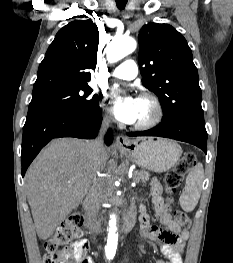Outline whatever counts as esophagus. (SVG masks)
I'll return each instance as SVG.
<instances>
[{
	"mask_svg": "<svg viewBox=\"0 0 233 263\" xmlns=\"http://www.w3.org/2000/svg\"><path fill=\"white\" fill-rule=\"evenodd\" d=\"M129 143V140L123 136V135H118L116 137L115 145L118 148H125V146Z\"/></svg>",
	"mask_w": 233,
	"mask_h": 263,
	"instance_id": "esophagus-1",
	"label": "esophagus"
}]
</instances>
